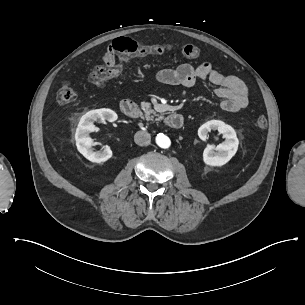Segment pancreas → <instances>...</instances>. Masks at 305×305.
<instances>
[{"instance_id":"obj_1","label":"pancreas","mask_w":305,"mask_h":305,"mask_svg":"<svg viewBox=\"0 0 305 305\" xmlns=\"http://www.w3.org/2000/svg\"><path fill=\"white\" fill-rule=\"evenodd\" d=\"M141 109L143 110L144 114L141 113V118L147 121H152L155 118L156 123H159L160 120L164 118L163 115L157 114L154 110L150 109V104L147 102L141 103Z\"/></svg>"}]
</instances>
